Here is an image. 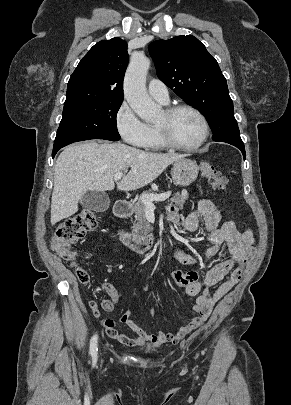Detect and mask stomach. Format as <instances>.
Segmentation results:
<instances>
[{"label": "stomach", "instance_id": "1", "mask_svg": "<svg viewBox=\"0 0 291 405\" xmlns=\"http://www.w3.org/2000/svg\"><path fill=\"white\" fill-rule=\"evenodd\" d=\"M197 164L186 158L176 161L172 167V178L175 184L186 187L195 181L198 176Z\"/></svg>", "mask_w": 291, "mask_h": 405}]
</instances>
